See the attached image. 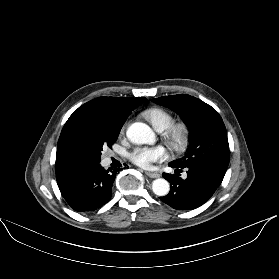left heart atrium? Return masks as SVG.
<instances>
[{
  "instance_id": "obj_1",
  "label": "left heart atrium",
  "mask_w": 279,
  "mask_h": 279,
  "mask_svg": "<svg viewBox=\"0 0 279 279\" xmlns=\"http://www.w3.org/2000/svg\"><path fill=\"white\" fill-rule=\"evenodd\" d=\"M168 156L163 146H140L129 153V159L136 165L148 169L155 162L164 161Z\"/></svg>"
}]
</instances>
